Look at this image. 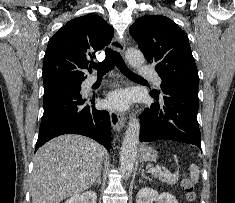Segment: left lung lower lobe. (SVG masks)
I'll return each instance as SVG.
<instances>
[{"mask_svg": "<svg viewBox=\"0 0 235 203\" xmlns=\"http://www.w3.org/2000/svg\"><path fill=\"white\" fill-rule=\"evenodd\" d=\"M162 94L159 99L158 95L151 93L155 103L141 116L140 141L173 140L201 149L198 91L187 87H166Z\"/></svg>", "mask_w": 235, "mask_h": 203, "instance_id": "1", "label": "left lung lower lobe"}]
</instances>
